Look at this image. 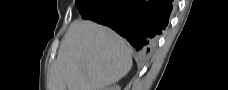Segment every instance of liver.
Segmentation results:
<instances>
[{"instance_id": "obj_1", "label": "liver", "mask_w": 228, "mask_h": 90, "mask_svg": "<svg viewBox=\"0 0 228 90\" xmlns=\"http://www.w3.org/2000/svg\"><path fill=\"white\" fill-rule=\"evenodd\" d=\"M132 68L128 44L111 29L75 20L53 63L48 90H103Z\"/></svg>"}]
</instances>
